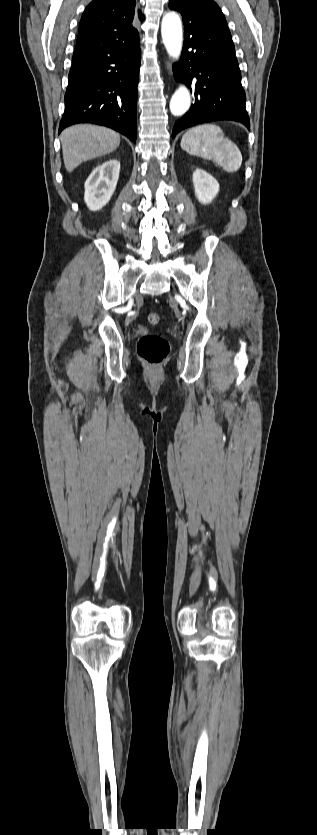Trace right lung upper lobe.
<instances>
[{
    "instance_id": "1",
    "label": "right lung upper lobe",
    "mask_w": 317,
    "mask_h": 835,
    "mask_svg": "<svg viewBox=\"0 0 317 835\" xmlns=\"http://www.w3.org/2000/svg\"><path fill=\"white\" fill-rule=\"evenodd\" d=\"M135 0H94L85 9L79 27L76 49L116 48L138 38V20H143Z\"/></svg>"
}]
</instances>
